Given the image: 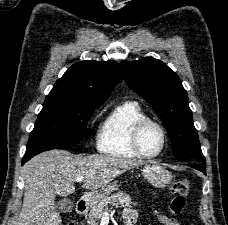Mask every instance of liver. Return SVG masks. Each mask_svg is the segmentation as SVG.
<instances>
[{"label":"liver","instance_id":"1","mask_svg":"<svg viewBox=\"0 0 228 225\" xmlns=\"http://www.w3.org/2000/svg\"><path fill=\"white\" fill-rule=\"evenodd\" d=\"M141 163L108 155H71L62 149L45 151L25 163L24 201L16 225H61L56 195L75 193L76 177H84L83 189L97 191Z\"/></svg>","mask_w":228,"mask_h":225}]
</instances>
